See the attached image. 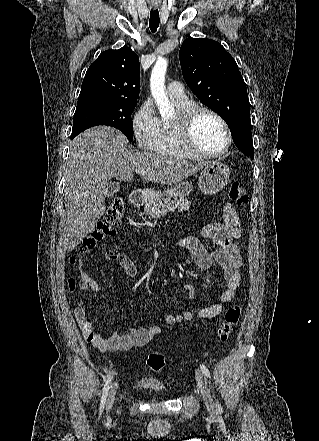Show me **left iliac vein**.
I'll return each mask as SVG.
<instances>
[{
  "label": "left iliac vein",
  "mask_w": 319,
  "mask_h": 441,
  "mask_svg": "<svg viewBox=\"0 0 319 441\" xmlns=\"http://www.w3.org/2000/svg\"><path fill=\"white\" fill-rule=\"evenodd\" d=\"M195 376H196V381L198 384V387L202 393V396L204 398L205 404L208 408L209 411L214 412L215 411V404L213 402L209 387H208V382L207 379L204 375V373L199 370L196 369L195 370Z\"/></svg>",
  "instance_id": "obj_1"
}]
</instances>
